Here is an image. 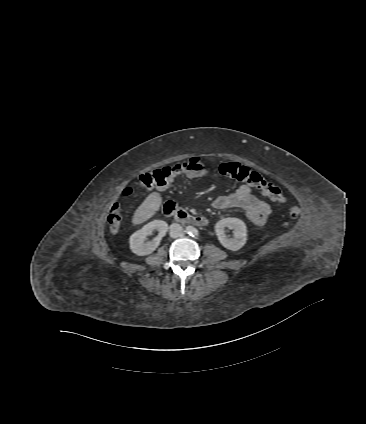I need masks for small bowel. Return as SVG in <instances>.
<instances>
[{
	"instance_id": "small-bowel-1",
	"label": "small bowel",
	"mask_w": 366,
	"mask_h": 424,
	"mask_svg": "<svg viewBox=\"0 0 366 424\" xmlns=\"http://www.w3.org/2000/svg\"><path fill=\"white\" fill-rule=\"evenodd\" d=\"M213 206L216 209L239 208L245 211L249 221L256 227L262 228L267 224L271 209L267 202L253 195L251 187L243 184L236 191L218 196Z\"/></svg>"
}]
</instances>
